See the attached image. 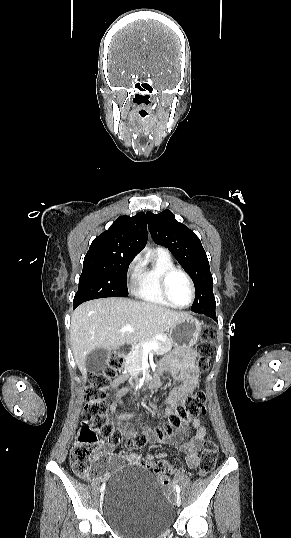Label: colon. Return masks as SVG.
I'll return each instance as SVG.
<instances>
[{"mask_svg":"<svg viewBox=\"0 0 291 538\" xmlns=\"http://www.w3.org/2000/svg\"><path fill=\"white\" fill-rule=\"evenodd\" d=\"M215 337L214 329L206 327L201 332V343L196 348V365L201 372H206L210 366V360L214 355L212 341ZM124 358L119 354H113L108 358L107 366L100 372L90 377V384L84 395L86 401L82 425L78 432L77 442L70 452V463L75 473L82 478H89L93 474H104L106 465L98 463L100 453L98 445L102 441L111 444L120 442L121 434L115 428L108 417V393L112 387L113 379L117 372L123 368ZM206 396L202 391L187 394L169 415L168 422L163 430H157L155 435L161 439L163 432H170L174 428L182 427L191 417L203 414L206 411ZM147 437L139 434L135 439L128 441V446L142 447L146 444ZM218 455V447L212 438L204 441L201 453L199 472L206 475L215 467ZM140 466L145 469L152 468L159 481L167 485V464L164 461L151 463L142 458Z\"/></svg>","mask_w":291,"mask_h":538,"instance_id":"obj_1","label":"colon"}]
</instances>
